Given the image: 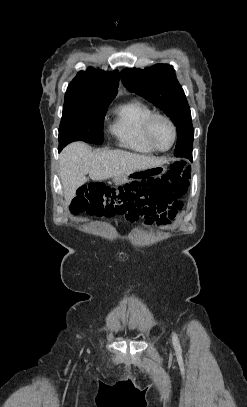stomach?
<instances>
[{
	"mask_svg": "<svg viewBox=\"0 0 247 407\" xmlns=\"http://www.w3.org/2000/svg\"><path fill=\"white\" fill-rule=\"evenodd\" d=\"M166 167L160 166H138L137 169H130L129 173L115 176L113 182L123 184L135 178H153L154 175L161 176L166 172Z\"/></svg>",
	"mask_w": 247,
	"mask_h": 407,
	"instance_id": "1",
	"label": "stomach"
}]
</instances>
